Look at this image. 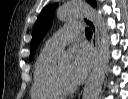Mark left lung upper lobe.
<instances>
[{"instance_id": "1", "label": "left lung upper lobe", "mask_w": 128, "mask_h": 99, "mask_svg": "<svg viewBox=\"0 0 128 99\" xmlns=\"http://www.w3.org/2000/svg\"><path fill=\"white\" fill-rule=\"evenodd\" d=\"M91 5L96 6L95 0H87ZM56 4L48 5L41 11L33 29V36L30 44V60L33 58L35 50L43 36L50 28L53 21V14Z\"/></svg>"}]
</instances>
